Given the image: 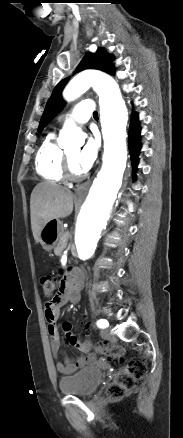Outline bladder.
<instances>
[{"label": "bladder", "instance_id": "31cf9c89", "mask_svg": "<svg viewBox=\"0 0 183 438\" xmlns=\"http://www.w3.org/2000/svg\"><path fill=\"white\" fill-rule=\"evenodd\" d=\"M102 380L103 373L99 368L87 367L70 377L60 379L59 389L66 395L91 396Z\"/></svg>", "mask_w": 183, "mask_h": 438}]
</instances>
